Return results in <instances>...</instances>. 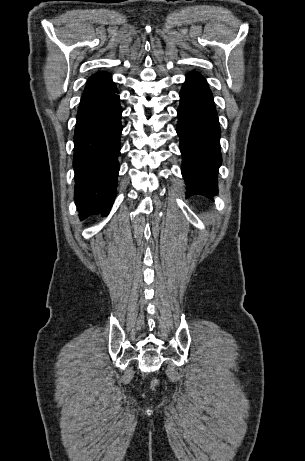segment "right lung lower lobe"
Listing matches in <instances>:
<instances>
[{"mask_svg": "<svg viewBox=\"0 0 305 461\" xmlns=\"http://www.w3.org/2000/svg\"><path fill=\"white\" fill-rule=\"evenodd\" d=\"M109 73L86 83L74 133L75 201L80 218L108 215L116 195L122 131L119 96Z\"/></svg>", "mask_w": 305, "mask_h": 461, "instance_id": "98d812e1", "label": "right lung lower lobe"}]
</instances>
